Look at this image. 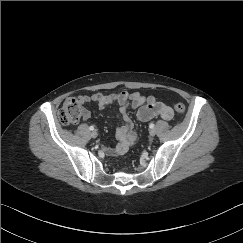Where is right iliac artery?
<instances>
[{"label":"right iliac artery","mask_w":243,"mask_h":243,"mask_svg":"<svg viewBox=\"0 0 243 243\" xmlns=\"http://www.w3.org/2000/svg\"><path fill=\"white\" fill-rule=\"evenodd\" d=\"M89 129H90L91 131H93V130H94V126H90Z\"/></svg>","instance_id":"right-iliac-artery-1"}]
</instances>
